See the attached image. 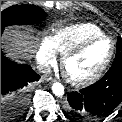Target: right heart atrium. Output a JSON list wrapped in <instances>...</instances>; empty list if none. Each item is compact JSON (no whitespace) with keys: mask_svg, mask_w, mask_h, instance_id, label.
Instances as JSON below:
<instances>
[{"mask_svg":"<svg viewBox=\"0 0 122 122\" xmlns=\"http://www.w3.org/2000/svg\"><path fill=\"white\" fill-rule=\"evenodd\" d=\"M36 58L39 66L43 70L48 69L56 62L57 50L55 49L50 36H46L42 39L36 54Z\"/></svg>","mask_w":122,"mask_h":122,"instance_id":"obj_1","label":"right heart atrium"}]
</instances>
